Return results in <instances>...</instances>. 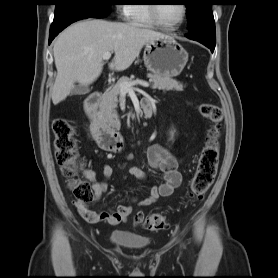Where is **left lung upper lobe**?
I'll return each mask as SVG.
<instances>
[{
  "label": "left lung upper lobe",
  "instance_id": "obj_1",
  "mask_svg": "<svg viewBox=\"0 0 278 278\" xmlns=\"http://www.w3.org/2000/svg\"><path fill=\"white\" fill-rule=\"evenodd\" d=\"M214 0H186L188 29L203 39L216 43L215 21L211 10Z\"/></svg>",
  "mask_w": 278,
  "mask_h": 278
}]
</instances>
